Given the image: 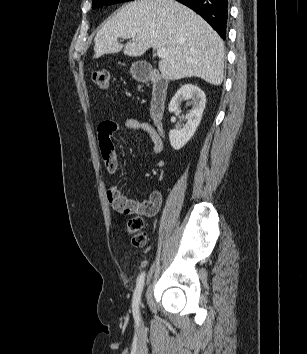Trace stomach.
Wrapping results in <instances>:
<instances>
[{"instance_id": "obj_1", "label": "stomach", "mask_w": 307, "mask_h": 354, "mask_svg": "<svg viewBox=\"0 0 307 354\" xmlns=\"http://www.w3.org/2000/svg\"><path fill=\"white\" fill-rule=\"evenodd\" d=\"M131 71H132L133 74L136 73V72H135V69H134V66L132 67Z\"/></svg>"}]
</instances>
